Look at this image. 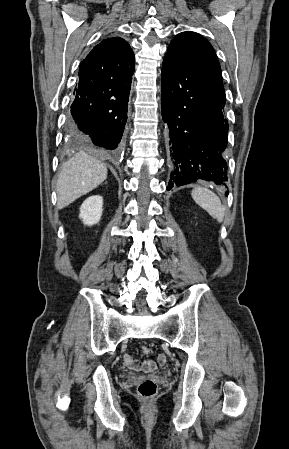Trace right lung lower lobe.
Returning a JSON list of instances; mask_svg holds the SVG:
<instances>
[{"mask_svg":"<svg viewBox=\"0 0 289 449\" xmlns=\"http://www.w3.org/2000/svg\"><path fill=\"white\" fill-rule=\"evenodd\" d=\"M133 73L134 67L111 77L79 78L68 118L70 133L114 153L120 147L127 120Z\"/></svg>","mask_w":289,"mask_h":449,"instance_id":"98d812e1","label":"right lung lower lobe"}]
</instances>
